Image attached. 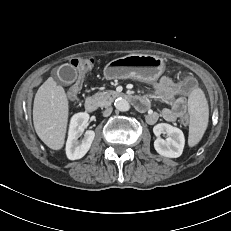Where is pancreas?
<instances>
[{
	"mask_svg": "<svg viewBox=\"0 0 231 231\" xmlns=\"http://www.w3.org/2000/svg\"><path fill=\"white\" fill-rule=\"evenodd\" d=\"M117 96L118 94L115 91H103L95 93L94 98L98 106L104 107L110 105Z\"/></svg>",
	"mask_w": 231,
	"mask_h": 231,
	"instance_id": "1",
	"label": "pancreas"
}]
</instances>
